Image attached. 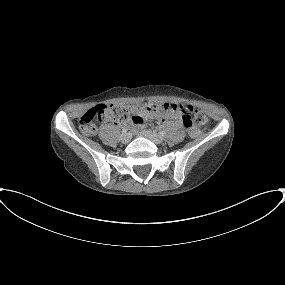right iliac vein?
Segmentation results:
<instances>
[{"label":"right iliac vein","mask_w":285,"mask_h":285,"mask_svg":"<svg viewBox=\"0 0 285 285\" xmlns=\"http://www.w3.org/2000/svg\"><path fill=\"white\" fill-rule=\"evenodd\" d=\"M130 140H131V137H130L129 134H123V135L121 136V142H122L123 144L129 143Z\"/></svg>","instance_id":"right-iliac-vein-1"}]
</instances>
